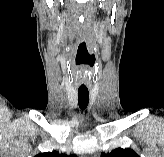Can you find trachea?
Here are the masks:
<instances>
[{"label":"trachea","mask_w":164,"mask_h":157,"mask_svg":"<svg viewBox=\"0 0 164 157\" xmlns=\"http://www.w3.org/2000/svg\"><path fill=\"white\" fill-rule=\"evenodd\" d=\"M89 103V91L87 89L78 90V105L80 109L85 110Z\"/></svg>","instance_id":"obj_1"}]
</instances>
